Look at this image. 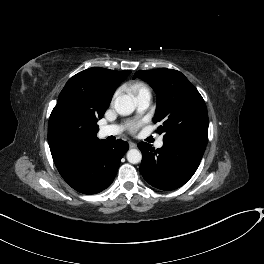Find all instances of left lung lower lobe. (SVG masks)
I'll return each mask as SVG.
<instances>
[{
  "label": "left lung lower lobe",
  "instance_id": "1",
  "mask_svg": "<svg viewBox=\"0 0 264 264\" xmlns=\"http://www.w3.org/2000/svg\"><path fill=\"white\" fill-rule=\"evenodd\" d=\"M142 152L140 172L153 187L174 190L184 185L197 170L206 144L196 139L163 141L157 150L150 144L141 142Z\"/></svg>",
  "mask_w": 264,
  "mask_h": 264
}]
</instances>
